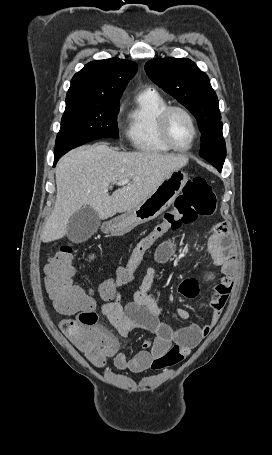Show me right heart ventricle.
<instances>
[{
    "label": "right heart ventricle",
    "mask_w": 272,
    "mask_h": 455,
    "mask_svg": "<svg viewBox=\"0 0 272 455\" xmlns=\"http://www.w3.org/2000/svg\"><path fill=\"white\" fill-rule=\"evenodd\" d=\"M166 100L154 89L140 91L127 115L126 136L131 146L140 152L163 154L171 149L158 131V116L167 106Z\"/></svg>",
    "instance_id": "obj_1"
}]
</instances>
